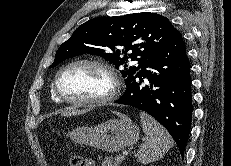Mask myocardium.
<instances>
[{
  "instance_id": "obj_1",
  "label": "myocardium",
  "mask_w": 231,
  "mask_h": 166,
  "mask_svg": "<svg viewBox=\"0 0 231 166\" xmlns=\"http://www.w3.org/2000/svg\"><path fill=\"white\" fill-rule=\"evenodd\" d=\"M77 65H92L105 71L106 74L109 76L111 82V87L109 91L101 97L90 98V99H70L65 97L59 88V78L61 74L65 72L67 69ZM120 88H121L120 79L113 66L104 60L96 59V58H81L67 63L66 65H64L58 70L53 80V91L55 95L58 97V99L62 102L73 104V105H79V106L104 105L110 103L116 99V97L120 92Z\"/></svg>"
}]
</instances>
